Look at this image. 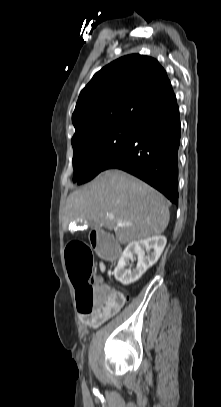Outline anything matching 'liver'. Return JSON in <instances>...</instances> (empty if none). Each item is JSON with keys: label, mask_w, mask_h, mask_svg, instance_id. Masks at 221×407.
Masks as SVG:
<instances>
[{"label": "liver", "mask_w": 221, "mask_h": 407, "mask_svg": "<svg viewBox=\"0 0 221 407\" xmlns=\"http://www.w3.org/2000/svg\"><path fill=\"white\" fill-rule=\"evenodd\" d=\"M77 219L95 228L114 230L116 240L127 244L162 234L170 214L162 194L138 178L112 169L68 196L65 224Z\"/></svg>", "instance_id": "1"}]
</instances>
